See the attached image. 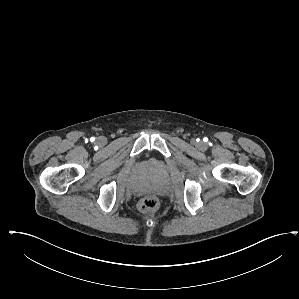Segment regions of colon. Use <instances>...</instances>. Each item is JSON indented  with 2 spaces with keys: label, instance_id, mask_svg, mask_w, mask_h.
Here are the masks:
<instances>
[{
  "label": "colon",
  "instance_id": "5ec220e1",
  "mask_svg": "<svg viewBox=\"0 0 299 299\" xmlns=\"http://www.w3.org/2000/svg\"><path fill=\"white\" fill-rule=\"evenodd\" d=\"M158 199L155 196H146L138 203V209L142 213H150L158 208Z\"/></svg>",
  "mask_w": 299,
  "mask_h": 299
}]
</instances>
